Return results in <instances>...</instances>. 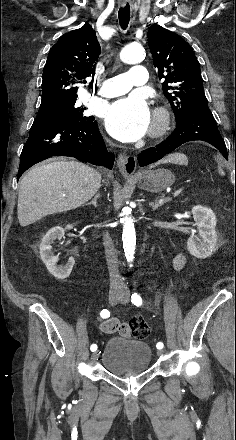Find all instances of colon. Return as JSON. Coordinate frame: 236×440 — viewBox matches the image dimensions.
Masks as SVG:
<instances>
[{"instance_id":"obj_1","label":"colon","mask_w":236,"mask_h":440,"mask_svg":"<svg viewBox=\"0 0 236 440\" xmlns=\"http://www.w3.org/2000/svg\"><path fill=\"white\" fill-rule=\"evenodd\" d=\"M130 322L131 329L129 331H131L133 337L138 339L148 337L150 329L146 320L142 316H134Z\"/></svg>"}]
</instances>
